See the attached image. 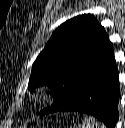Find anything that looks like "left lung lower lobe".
I'll return each instance as SVG.
<instances>
[{
    "label": "left lung lower lobe",
    "mask_w": 125,
    "mask_h": 128,
    "mask_svg": "<svg viewBox=\"0 0 125 128\" xmlns=\"http://www.w3.org/2000/svg\"><path fill=\"white\" fill-rule=\"evenodd\" d=\"M118 101L119 77L112 48L86 73L72 100L57 111L86 113L114 128L119 115Z\"/></svg>",
    "instance_id": "0a47b994"
}]
</instances>
